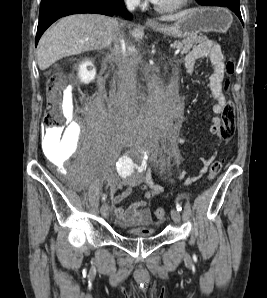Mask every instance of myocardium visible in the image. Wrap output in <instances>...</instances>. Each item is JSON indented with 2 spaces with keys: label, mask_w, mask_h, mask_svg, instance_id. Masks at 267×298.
<instances>
[{
  "label": "myocardium",
  "mask_w": 267,
  "mask_h": 298,
  "mask_svg": "<svg viewBox=\"0 0 267 298\" xmlns=\"http://www.w3.org/2000/svg\"><path fill=\"white\" fill-rule=\"evenodd\" d=\"M189 0H179L175 5L171 7H162L155 3L156 11L163 13V14H174L180 12L187 4Z\"/></svg>",
  "instance_id": "f54148a6"
}]
</instances>
